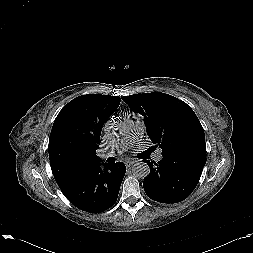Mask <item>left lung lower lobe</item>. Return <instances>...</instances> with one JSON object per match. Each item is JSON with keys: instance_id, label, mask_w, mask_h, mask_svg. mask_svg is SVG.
<instances>
[{"instance_id": "1", "label": "left lung lower lobe", "mask_w": 253, "mask_h": 253, "mask_svg": "<svg viewBox=\"0 0 253 253\" xmlns=\"http://www.w3.org/2000/svg\"><path fill=\"white\" fill-rule=\"evenodd\" d=\"M206 160L205 155L192 152L164 154L158 163L144 160L150 167L143 182L145 193L160 203L183 201L195 189Z\"/></svg>"}]
</instances>
